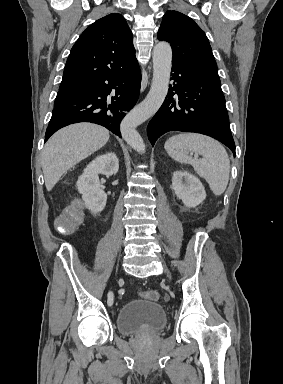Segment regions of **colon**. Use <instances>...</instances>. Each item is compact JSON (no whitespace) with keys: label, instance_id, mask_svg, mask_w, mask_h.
<instances>
[{"label":"colon","instance_id":"obj_1","mask_svg":"<svg viewBox=\"0 0 283 384\" xmlns=\"http://www.w3.org/2000/svg\"><path fill=\"white\" fill-rule=\"evenodd\" d=\"M81 215L76 209L67 210L64 215L58 220L57 227L63 233L72 232L75 227L80 223ZM142 298L157 301L160 298V294L156 290H146L140 292Z\"/></svg>","mask_w":283,"mask_h":384}]
</instances>
